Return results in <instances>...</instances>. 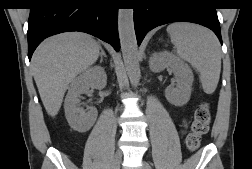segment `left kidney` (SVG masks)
<instances>
[{
	"instance_id": "5707ae66",
	"label": "left kidney",
	"mask_w": 252,
	"mask_h": 169,
	"mask_svg": "<svg viewBox=\"0 0 252 169\" xmlns=\"http://www.w3.org/2000/svg\"><path fill=\"white\" fill-rule=\"evenodd\" d=\"M178 65L177 63L175 64ZM180 65V64H179ZM180 68L185 72L186 69L182 65ZM186 78H179L177 80L176 88L169 90V95L173 101H182L187 96Z\"/></svg>"
}]
</instances>
